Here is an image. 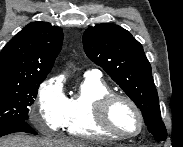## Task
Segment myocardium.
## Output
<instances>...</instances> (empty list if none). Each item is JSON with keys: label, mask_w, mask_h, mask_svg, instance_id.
Wrapping results in <instances>:
<instances>
[{"label": "myocardium", "mask_w": 183, "mask_h": 147, "mask_svg": "<svg viewBox=\"0 0 183 147\" xmlns=\"http://www.w3.org/2000/svg\"><path fill=\"white\" fill-rule=\"evenodd\" d=\"M117 100L128 103L139 118L140 128L135 134H126L118 131L111 123L109 112L112 104ZM94 115L97 125L105 132L121 139H132L140 136L145 128V119L139 106L128 96L119 93H109L99 98L94 105Z\"/></svg>", "instance_id": "myocardium-1"}]
</instances>
